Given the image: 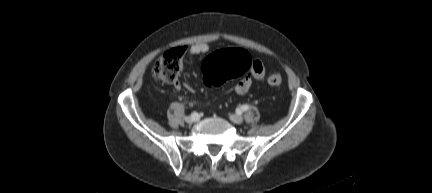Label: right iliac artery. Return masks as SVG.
<instances>
[{
  "label": "right iliac artery",
  "mask_w": 432,
  "mask_h": 193,
  "mask_svg": "<svg viewBox=\"0 0 432 193\" xmlns=\"http://www.w3.org/2000/svg\"><path fill=\"white\" fill-rule=\"evenodd\" d=\"M196 114H197V113L194 111V112L191 113V116H192V117H195Z\"/></svg>",
  "instance_id": "1"
}]
</instances>
